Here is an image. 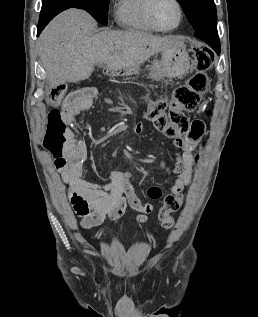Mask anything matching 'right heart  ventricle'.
<instances>
[{
	"label": "right heart ventricle",
	"mask_w": 258,
	"mask_h": 317,
	"mask_svg": "<svg viewBox=\"0 0 258 317\" xmlns=\"http://www.w3.org/2000/svg\"><path fill=\"white\" fill-rule=\"evenodd\" d=\"M152 0H120L117 3L115 20L126 30L152 34L158 30L148 18V7Z\"/></svg>",
	"instance_id": "e07e8e85"
}]
</instances>
